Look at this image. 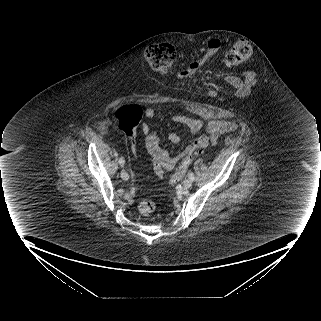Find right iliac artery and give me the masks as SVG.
I'll return each mask as SVG.
<instances>
[{"instance_id":"82829eb1","label":"right iliac artery","mask_w":321,"mask_h":321,"mask_svg":"<svg viewBox=\"0 0 321 321\" xmlns=\"http://www.w3.org/2000/svg\"><path fill=\"white\" fill-rule=\"evenodd\" d=\"M118 162L121 166H123L125 163V160L123 158H120Z\"/></svg>"}]
</instances>
